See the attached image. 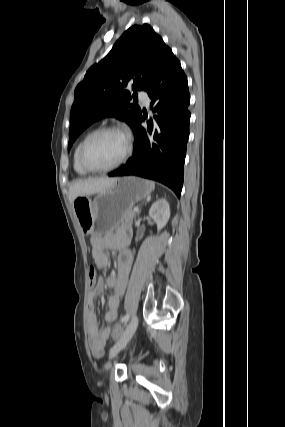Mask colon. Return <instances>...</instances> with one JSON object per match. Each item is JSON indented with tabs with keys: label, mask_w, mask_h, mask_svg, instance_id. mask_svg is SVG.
Returning a JSON list of instances; mask_svg holds the SVG:
<instances>
[{
	"label": "colon",
	"mask_w": 285,
	"mask_h": 427,
	"mask_svg": "<svg viewBox=\"0 0 285 427\" xmlns=\"http://www.w3.org/2000/svg\"><path fill=\"white\" fill-rule=\"evenodd\" d=\"M96 277H97V273H96V269L94 267H89L88 269V284L91 288H93L96 285ZM113 336L114 338H119L121 336V329L119 327H116L113 330Z\"/></svg>",
	"instance_id": "5ec220e1"
}]
</instances>
